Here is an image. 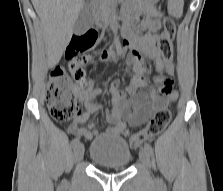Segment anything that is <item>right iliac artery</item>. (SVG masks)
<instances>
[{
    "label": "right iliac artery",
    "instance_id": "obj_1",
    "mask_svg": "<svg viewBox=\"0 0 223 191\" xmlns=\"http://www.w3.org/2000/svg\"><path fill=\"white\" fill-rule=\"evenodd\" d=\"M78 143H79V138H74L71 142V146L75 148Z\"/></svg>",
    "mask_w": 223,
    "mask_h": 191
}]
</instances>
